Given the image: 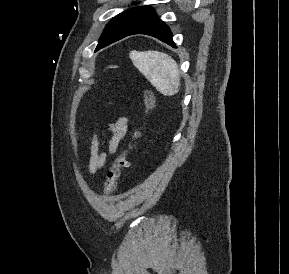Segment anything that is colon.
Segmentation results:
<instances>
[{"label": "colon", "mask_w": 289, "mask_h": 274, "mask_svg": "<svg viewBox=\"0 0 289 274\" xmlns=\"http://www.w3.org/2000/svg\"><path fill=\"white\" fill-rule=\"evenodd\" d=\"M143 97H144V113H143L142 119H145L150 115V113L154 109L156 99H155L154 93L149 89H145L143 91ZM140 131H141V125L139 124L134 130L132 137L128 145L126 146V148L122 150L114 158L112 165L107 172L106 181L104 184L103 191L106 195L111 194L116 189L122 170L128 167L129 162L127 160V155L129 151L132 149L135 141L139 138Z\"/></svg>", "instance_id": "colon-1"}]
</instances>
